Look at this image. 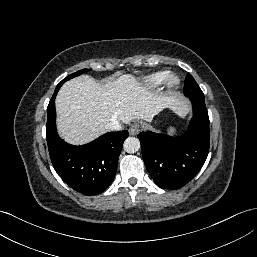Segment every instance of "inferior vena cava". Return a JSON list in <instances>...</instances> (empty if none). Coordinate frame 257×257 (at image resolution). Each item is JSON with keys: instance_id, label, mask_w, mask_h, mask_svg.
Instances as JSON below:
<instances>
[{"instance_id": "602c4592", "label": "inferior vena cava", "mask_w": 257, "mask_h": 257, "mask_svg": "<svg viewBox=\"0 0 257 257\" xmlns=\"http://www.w3.org/2000/svg\"><path fill=\"white\" fill-rule=\"evenodd\" d=\"M105 129L107 131H118L121 129V125L119 121H117L116 119H113L111 122L105 125Z\"/></svg>"}]
</instances>
